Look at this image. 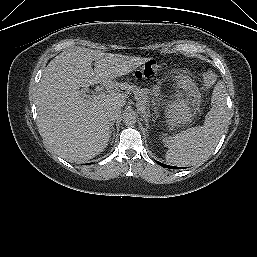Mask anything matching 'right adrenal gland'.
<instances>
[{"label": "right adrenal gland", "mask_w": 257, "mask_h": 257, "mask_svg": "<svg viewBox=\"0 0 257 257\" xmlns=\"http://www.w3.org/2000/svg\"><path fill=\"white\" fill-rule=\"evenodd\" d=\"M115 128H114V122L111 123V131H110V136H112V143L114 142L115 139Z\"/></svg>", "instance_id": "right-adrenal-gland-1"}]
</instances>
